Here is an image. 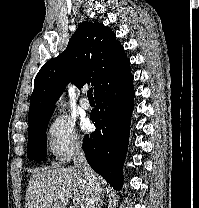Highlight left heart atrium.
Wrapping results in <instances>:
<instances>
[{"label": "left heart atrium", "instance_id": "obj_1", "mask_svg": "<svg viewBox=\"0 0 199 208\" xmlns=\"http://www.w3.org/2000/svg\"><path fill=\"white\" fill-rule=\"evenodd\" d=\"M82 129L85 131H89L91 129V123L88 119H83L81 123Z\"/></svg>", "mask_w": 199, "mask_h": 208}]
</instances>
